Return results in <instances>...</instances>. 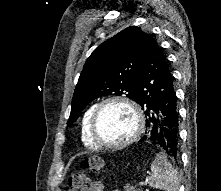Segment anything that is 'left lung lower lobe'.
I'll return each instance as SVG.
<instances>
[{
    "label": "left lung lower lobe",
    "mask_w": 221,
    "mask_h": 191,
    "mask_svg": "<svg viewBox=\"0 0 221 191\" xmlns=\"http://www.w3.org/2000/svg\"><path fill=\"white\" fill-rule=\"evenodd\" d=\"M173 80L168 61L152 38L137 81L136 102L145 108L147 126L140 141L150 142L176 159L179 114Z\"/></svg>",
    "instance_id": "0a47b994"
}]
</instances>
